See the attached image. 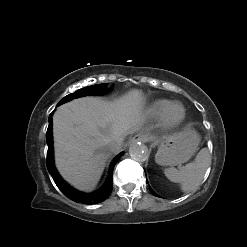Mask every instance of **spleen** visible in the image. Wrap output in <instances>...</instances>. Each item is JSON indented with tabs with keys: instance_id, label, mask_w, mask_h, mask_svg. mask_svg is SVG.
<instances>
[{
	"instance_id": "spleen-1",
	"label": "spleen",
	"mask_w": 247,
	"mask_h": 247,
	"mask_svg": "<svg viewBox=\"0 0 247 247\" xmlns=\"http://www.w3.org/2000/svg\"><path fill=\"white\" fill-rule=\"evenodd\" d=\"M210 164L209 151L207 148H203L193 162L186 164L180 170L173 167L167 168L164 170V174L170 181L179 183L183 192H189L201 183Z\"/></svg>"
}]
</instances>
